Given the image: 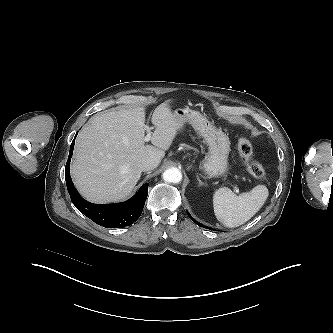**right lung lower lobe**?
<instances>
[{
  "label": "right lung lower lobe",
  "instance_id": "1",
  "mask_svg": "<svg viewBox=\"0 0 333 333\" xmlns=\"http://www.w3.org/2000/svg\"><path fill=\"white\" fill-rule=\"evenodd\" d=\"M76 137V136H75ZM75 138L72 141L68 161L65 167V178L68 192L74 206L96 224L109 228H122L133 224L140 217L148 195V183L141 186L129 200L118 204H93L84 200L75 189L69 171Z\"/></svg>",
  "mask_w": 333,
  "mask_h": 333
}]
</instances>
